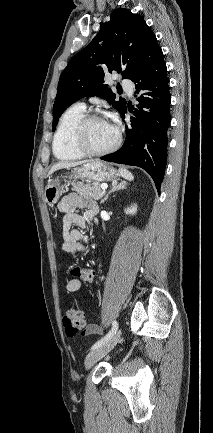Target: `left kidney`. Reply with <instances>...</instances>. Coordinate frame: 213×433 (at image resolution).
I'll use <instances>...</instances> for the list:
<instances>
[{
    "label": "left kidney",
    "mask_w": 213,
    "mask_h": 433,
    "mask_svg": "<svg viewBox=\"0 0 213 433\" xmlns=\"http://www.w3.org/2000/svg\"><path fill=\"white\" fill-rule=\"evenodd\" d=\"M136 211H137V206L136 205H134V206H132V207H130V208H127V209H125V213L126 214H135L136 213Z\"/></svg>",
    "instance_id": "1"
}]
</instances>
